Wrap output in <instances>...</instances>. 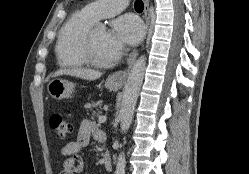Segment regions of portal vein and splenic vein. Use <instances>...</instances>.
Instances as JSON below:
<instances>
[{
	"instance_id": "portal-vein-and-splenic-vein-1",
	"label": "portal vein and splenic vein",
	"mask_w": 249,
	"mask_h": 174,
	"mask_svg": "<svg viewBox=\"0 0 249 174\" xmlns=\"http://www.w3.org/2000/svg\"><path fill=\"white\" fill-rule=\"evenodd\" d=\"M106 121V116H99L98 122L99 123H104Z\"/></svg>"
}]
</instances>
